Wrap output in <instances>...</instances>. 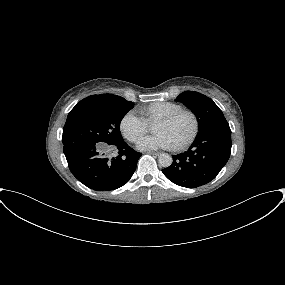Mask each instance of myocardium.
Segmentation results:
<instances>
[{"mask_svg":"<svg viewBox=\"0 0 285 285\" xmlns=\"http://www.w3.org/2000/svg\"><path fill=\"white\" fill-rule=\"evenodd\" d=\"M183 115H187L191 118L193 126H192V130H191L190 134L187 136V138L185 140H183L180 144L173 146V148L175 150L185 149L196 139V137L199 133V130H200V121H199V118L196 115V113L191 111V110L182 109V110L173 112L171 114L165 115L163 117H160L155 122V123H157V122L170 123V122L176 120L177 118H179Z\"/></svg>","mask_w":285,"mask_h":285,"instance_id":"myocardium-1","label":"myocardium"}]
</instances>
